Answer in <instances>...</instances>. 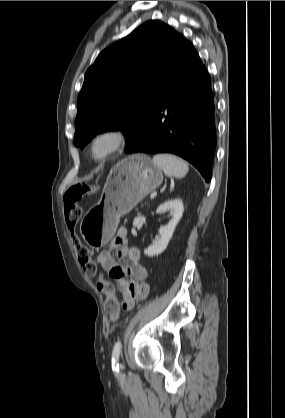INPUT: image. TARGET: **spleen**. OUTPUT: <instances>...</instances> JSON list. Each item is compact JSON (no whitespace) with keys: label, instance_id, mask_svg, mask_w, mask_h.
<instances>
[{"label":"spleen","instance_id":"spleen-1","mask_svg":"<svg viewBox=\"0 0 285 418\" xmlns=\"http://www.w3.org/2000/svg\"><path fill=\"white\" fill-rule=\"evenodd\" d=\"M153 163L169 177L182 178L189 171L188 164L183 159L171 154H156Z\"/></svg>","mask_w":285,"mask_h":418}]
</instances>
